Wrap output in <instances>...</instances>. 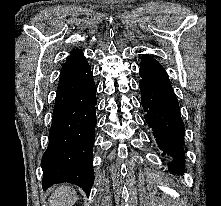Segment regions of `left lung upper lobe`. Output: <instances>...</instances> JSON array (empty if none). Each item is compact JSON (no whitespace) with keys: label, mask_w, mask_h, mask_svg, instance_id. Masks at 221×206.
<instances>
[{"label":"left lung upper lobe","mask_w":221,"mask_h":206,"mask_svg":"<svg viewBox=\"0 0 221 206\" xmlns=\"http://www.w3.org/2000/svg\"><path fill=\"white\" fill-rule=\"evenodd\" d=\"M140 69L165 72V69L162 67V65L158 63V61L150 57L149 55H145L142 57V60L140 63Z\"/></svg>","instance_id":"left-lung-upper-lobe-1"}]
</instances>
